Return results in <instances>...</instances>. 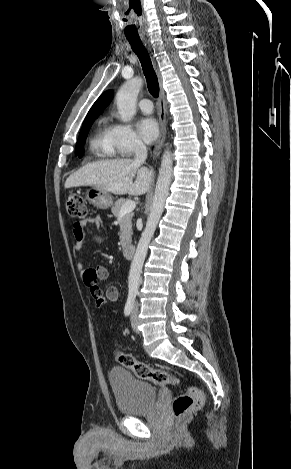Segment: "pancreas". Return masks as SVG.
<instances>
[{
	"label": "pancreas",
	"mask_w": 291,
	"mask_h": 469,
	"mask_svg": "<svg viewBox=\"0 0 291 469\" xmlns=\"http://www.w3.org/2000/svg\"><path fill=\"white\" fill-rule=\"evenodd\" d=\"M127 199H119L115 202L112 206V213L113 215L118 218L120 216V211L122 206L127 202ZM132 217L133 213L129 212L126 213L120 222V241L122 246L127 245L131 242V235H132Z\"/></svg>",
	"instance_id": "cf45deb5"
}]
</instances>
